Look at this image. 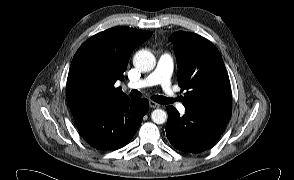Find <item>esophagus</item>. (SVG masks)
Here are the masks:
<instances>
[{"label": "esophagus", "instance_id": "esophagus-1", "mask_svg": "<svg viewBox=\"0 0 294 180\" xmlns=\"http://www.w3.org/2000/svg\"><path fill=\"white\" fill-rule=\"evenodd\" d=\"M149 106L151 108H159L160 107V105L158 103L154 102V101H150Z\"/></svg>", "mask_w": 294, "mask_h": 180}]
</instances>
